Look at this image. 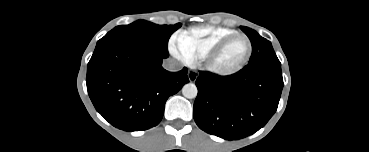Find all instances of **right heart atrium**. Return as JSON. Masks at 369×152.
Returning a JSON list of instances; mask_svg holds the SVG:
<instances>
[{"mask_svg": "<svg viewBox=\"0 0 369 152\" xmlns=\"http://www.w3.org/2000/svg\"><path fill=\"white\" fill-rule=\"evenodd\" d=\"M169 47L173 54H175L176 56L184 60L186 63L190 62V58L188 54L184 50L181 49V47L178 44L177 39H172Z\"/></svg>", "mask_w": 369, "mask_h": 152, "instance_id": "d8ad5b80", "label": "right heart atrium"}]
</instances>
